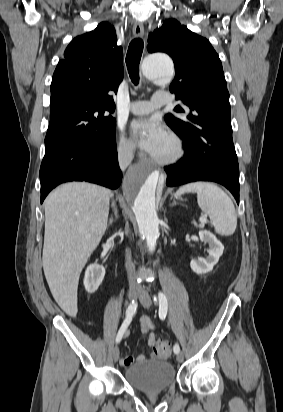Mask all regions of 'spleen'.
<instances>
[{"label": "spleen", "mask_w": 283, "mask_h": 412, "mask_svg": "<svg viewBox=\"0 0 283 412\" xmlns=\"http://www.w3.org/2000/svg\"><path fill=\"white\" fill-rule=\"evenodd\" d=\"M197 193V202L202 212L212 221L215 232L222 236L232 235L237 227L235 207L228 195L219 187L208 182H194L183 185L177 195Z\"/></svg>", "instance_id": "spleen-1"}]
</instances>
